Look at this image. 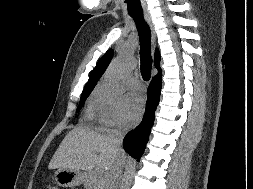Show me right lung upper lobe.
<instances>
[{"label":"right lung upper lobe","instance_id":"right-lung-upper-lobe-1","mask_svg":"<svg viewBox=\"0 0 253 189\" xmlns=\"http://www.w3.org/2000/svg\"><path fill=\"white\" fill-rule=\"evenodd\" d=\"M112 56H113V50L110 49L101 57V59L98 61L97 65H96V67L91 72L89 80L86 83L83 91L93 90L97 81L100 79V77L105 72L106 68L108 67V65L112 59ZM159 63H160V55H159L158 50H156V52H155V66L159 70V74H161V69L159 67Z\"/></svg>","mask_w":253,"mask_h":189}]
</instances>
